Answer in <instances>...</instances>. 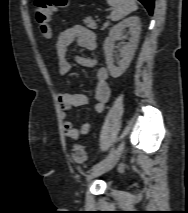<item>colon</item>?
Listing matches in <instances>:
<instances>
[{
	"instance_id": "5ec220e1",
	"label": "colon",
	"mask_w": 188,
	"mask_h": 213,
	"mask_svg": "<svg viewBox=\"0 0 188 213\" xmlns=\"http://www.w3.org/2000/svg\"><path fill=\"white\" fill-rule=\"evenodd\" d=\"M68 2V0H35V18L43 37H51V16L55 10L66 7ZM71 155L73 161L80 164L86 159V150L82 145H74Z\"/></svg>"
}]
</instances>
